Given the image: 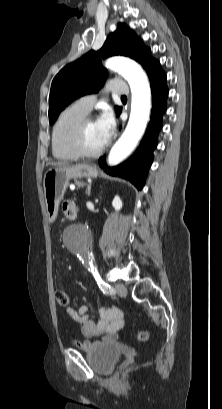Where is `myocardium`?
<instances>
[{
  "label": "myocardium",
  "instance_id": "obj_1",
  "mask_svg": "<svg viewBox=\"0 0 222 409\" xmlns=\"http://www.w3.org/2000/svg\"><path fill=\"white\" fill-rule=\"evenodd\" d=\"M91 121H93V118L86 115L84 118H82L77 123V125L75 126L71 134L70 145L78 157L95 158V157L100 156L106 148V144H105L96 151H88L85 149L84 144H83V134H84L86 125Z\"/></svg>",
  "mask_w": 222,
  "mask_h": 409
}]
</instances>
